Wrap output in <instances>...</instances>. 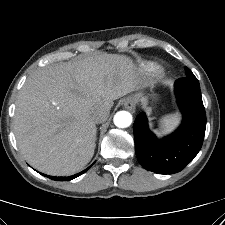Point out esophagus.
Returning a JSON list of instances; mask_svg holds the SVG:
<instances>
[{"label": "esophagus", "mask_w": 225, "mask_h": 225, "mask_svg": "<svg viewBox=\"0 0 225 225\" xmlns=\"http://www.w3.org/2000/svg\"><path fill=\"white\" fill-rule=\"evenodd\" d=\"M124 107L127 110H129L131 112H134L135 109H136V102H135V100L133 98H127V99H125V101H124Z\"/></svg>", "instance_id": "1"}]
</instances>
